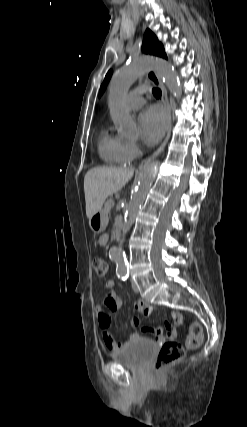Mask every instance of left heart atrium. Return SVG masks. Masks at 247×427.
Returning a JSON list of instances; mask_svg holds the SVG:
<instances>
[{"mask_svg":"<svg viewBox=\"0 0 247 427\" xmlns=\"http://www.w3.org/2000/svg\"><path fill=\"white\" fill-rule=\"evenodd\" d=\"M139 125L143 141L148 145L156 144L167 129V115L160 107L151 106L140 115Z\"/></svg>","mask_w":247,"mask_h":427,"instance_id":"obj_1","label":"left heart atrium"}]
</instances>
